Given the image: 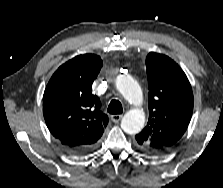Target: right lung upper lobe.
Here are the masks:
<instances>
[{
    "label": "right lung upper lobe",
    "mask_w": 223,
    "mask_h": 188,
    "mask_svg": "<svg viewBox=\"0 0 223 188\" xmlns=\"http://www.w3.org/2000/svg\"><path fill=\"white\" fill-rule=\"evenodd\" d=\"M103 66L98 55H79L61 65L43 95V115L51 134L67 148H93L102 136L108 116L91 93Z\"/></svg>",
    "instance_id": "cb5924a9"
}]
</instances>
